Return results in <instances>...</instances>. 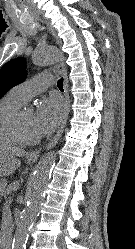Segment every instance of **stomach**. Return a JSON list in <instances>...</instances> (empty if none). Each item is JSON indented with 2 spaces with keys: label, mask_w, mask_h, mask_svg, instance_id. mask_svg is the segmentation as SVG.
<instances>
[{
  "label": "stomach",
  "mask_w": 135,
  "mask_h": 249,
  "mask_svg": "<svg viewBox=\"0 0 135 249\" xmlns=\"http://www.w3.org/2000/svg\"><path fill=\"white\" fill-rule=\"evenodd\" d=\"M18 161L15 156L0 149V176H9L17 168Z\"/></svg>",
  "instance_id": "obj_1"
}]
</instances>
